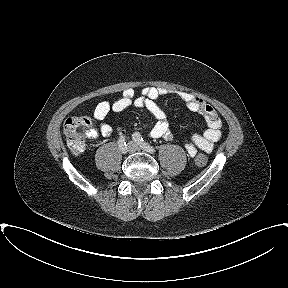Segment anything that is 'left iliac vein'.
Here are the masks:
<instances>
[{
	"label": "left iliac vein",
	"mask_w": 288,
	"mask_h": 288,
	"mask_svg": "<svg viewBox=\"0 0 288 288\" xmlns=\"http://www.w3.org/2000/svg\"><path fill=\"white\" fill-rule=\"evenodd\" d=\"M132 144H133V143H132ZM133 146H134V150H136V151L141 150V148H140L139 146H137V145H135V144H133Z\"/></svg>",
	"instance_id": "4c4485c4"
}]
</instances>
